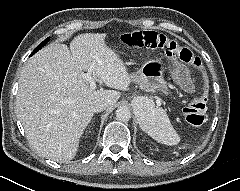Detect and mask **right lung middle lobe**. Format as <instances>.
Masks as SVG:
<instances>
[{
	"instance_id": "right-lung-middle-lobe-1",
	"label": "right lung middle lobe",
	"mask_w": 240,
	"mask_h": 191,
	"mask_svg": "<svg viewBox=\"0 0 240 191\" xmlns=\"http://www.w3.org/2000/svg\"><path fill=\"white\" fill-rule=\"evenodd\" d=\"M48 41H49V38L45 39L41 44L38 45V47L35 48V50L33 51V53H32L31 55H33V54L36 53L39 49H41Z\"/></svg>"
}]
</instances>
